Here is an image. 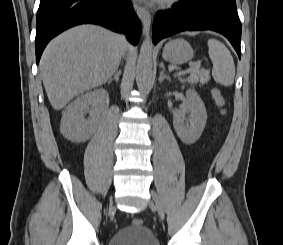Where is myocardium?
<instances>
[{"label":"myocardium","mask_w":283,"mask_h":245,"mask_svg":"<svg viewBox=\"0 0 283 245\" xmlns=\"http://www.w3.org/2000/svg\"><path fill=\"white\" fill-rule=\"evenodd\" d=\"M180 0H157L159 7L169 9L176 6Z\"/></svg>","instance_id":"f54148a6"}]
</instances>
